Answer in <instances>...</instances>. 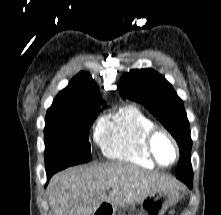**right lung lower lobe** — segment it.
<instances>
[{
    "instance_id": "1",
    "label": "right lung lower lobe",
    "mask_w": 221,
    "mask_h": 215,
    "mask_svg": "<svg viewBox=\"0 0 221 215\" xmlns=\"http://www.w3.org/2000/svg\"><path fill=\"white\" fill-rule=\"evenodd\" d=\"M54 173H47V179L49 180ZM46 186V185H45Z\"/></svg>"
}]
</instances>
